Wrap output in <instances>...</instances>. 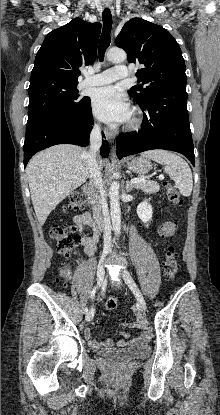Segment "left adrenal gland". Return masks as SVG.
<instances>
[{
    "mask_svg": "<svg viewBox=\"0 0 220 415\" xmlns=\"http://www.w3.org/2000/svg\"><path fill=\"white\" fill-rule=\"evenodd\" d=\"M133 189V186L129 183V181L126 183V192H131Z\"/></svg>",
    "mask_w": 220,
    "mask_h": 415,
    "instance_id": "1",
    "label": "left adrenal gland"
}]
</instances>
